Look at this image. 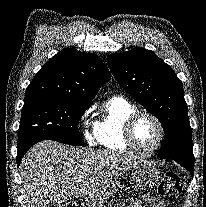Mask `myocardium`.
<instances>
[{
    "mask_svg": "<svg viewBox=\"0 0 206 207\" xmlns=\"http://www.w3.org/2000/svg\"><path fill=\"white\" fill-rule=\"evenodd\" d=\"M142 117H148L152 119L158 127L159 137L155 146L149 150L140 149L134 141L133 129L137 121ZM165 140V128L162 121L153 113L149 111H135L129 118L125 121L123 126V141L127 148L133 153L140 156H150L157 152L162 146Z\"/></svg>",
    "mask_w": 206,
    "mask_h": 207,
    "instance_id": "f54148a6",
    "label": "myocardium"
}]
</instances>
